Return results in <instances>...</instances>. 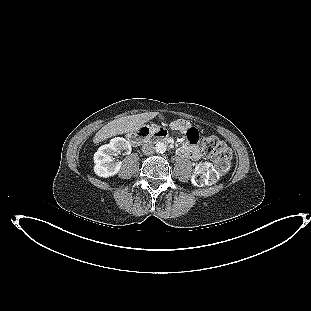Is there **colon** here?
<instances>
[{
  "label": "colon",
  "mask_w": 311,
  "mask_h": 311,
  "mask_svg": "<svg viewBox=\"0 0 311 311\" xmlns=\"http://www.w3.org/2000/svg\"><path fill=\"white\" fill-rule=\"evenodd\" d=\"M192 137L197 139V133L192 134ZM202 153L212 160L213 165L202 163L197 167L194 182L198 186L215 182L230 169L232 161L231 149L214 136L204 138Z\"/></svg>",
  "instance_id": "5ec220e1"
}]
</instances>
